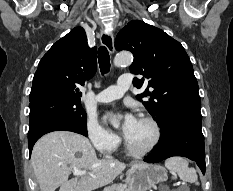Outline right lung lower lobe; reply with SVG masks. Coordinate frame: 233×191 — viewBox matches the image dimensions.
<instances>
[{"mask_svg": "<svg viewBox=\"0 0 233 191\" xmlns=\"http://www.w3.org/2000/svg\"><path fill=\"white\" fill-rule=\"evenodd\" d=\"M58 130L72 131L88 136L87 129H82L81 127L70 122L61 120H42L36 123L34 126L29 127L28 146L30 155L33 145L42 135Z\"/></svg>", "mask_w": 233, "mask_h": 191, "instance_id": "1", "label": "right lung lower lobe"}]
</instances>
